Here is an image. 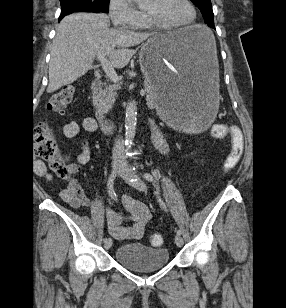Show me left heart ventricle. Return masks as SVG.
<instances>
[{
	"instance_id": "left-heart-ventricle-1",
	"label": "left heart ventricle",
	"mask_w": 286,
	"mask_h": 308,
	"mask_svg": "<svg viewBox=\"0 0 286 308\" xmlns=\"http://www.w3.org/2000/svg\"><path fill=\"white\" fill-rule=\"evenodd\" d=\"M144 11L170 24H183L192 19L193 13L185 0H149Z\"/></svg>"
}]
</instances>
